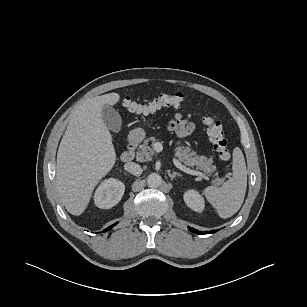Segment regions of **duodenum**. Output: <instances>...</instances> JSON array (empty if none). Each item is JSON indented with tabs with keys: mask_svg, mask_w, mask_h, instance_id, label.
<instances>
[{
	"mask_svg": "<svg viewBox=\"0 0 307 307\" xmlns=\"http://www.w3.org/2000/svg\"><path fill=\"white\" fill-rule=\"evenodd\" d=\"M140 137L138 134H134L129 138L127 150L121 154V160L123 162H130L134 159L135 150L137 148Z\"/></svg>",
	"mask_w": 307,
	"mask_h": 307,
	"instance_id": "duodenum-1",
	"label": "duodenum"
}]
</instances>
